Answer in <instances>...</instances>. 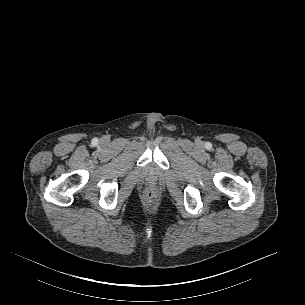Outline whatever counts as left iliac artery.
<instances>
[{"label": "left iliac artery", "instance_id": "obj_1", "mask_svg": "<svg viewBox=\"0 0 305 305\" xmlns=\"http://www.w3.org/2000/svg\"><path fill=\"white\" fill-rule=\"evenodd\" d=\"M211 146H212V145H211V143H209V142H208V143H206V148L210 149V148H211Z\"/></svg>", "mask_w": 305, "mask_h": 305}]
</instances>
